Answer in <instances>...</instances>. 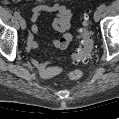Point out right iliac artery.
<instances>
[{
  "label": "right iliac artery",
  "mask_w": 119,
  "mask_h": 119,
  "mask_svg": "<svg viewBox=\"0 0 119 119\" xmlns=\"http://www.w3.org/2000/svg\"><path fill=\"white\" fill-rule=\"evenodd\" d=\"M14 16H15L17 19H19V18H20V13H19V12H15V13H14Z\"/></svg>",
  "instance_id": "right-iliac-artery-1"
}]
</instances>
